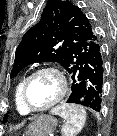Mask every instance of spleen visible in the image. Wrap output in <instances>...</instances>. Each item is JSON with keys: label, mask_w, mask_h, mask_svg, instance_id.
<instances>
[{"label": "spleen", "mask_w": 117, "mask_h": 136, "mask_svg": "<svg viewBox=\"0 0 117 136\" xmlns=\"http://www.w3.org/2000/svg\"><path fill=\"white\" fill-rule=\"evenodd\" d=\"M51 113L66 121L62 128L63 136H76L85 125L86 111L80 105L63 103L52 108Z\"/></svg>", "instance_id": "3e777b00"}]
</instances>
